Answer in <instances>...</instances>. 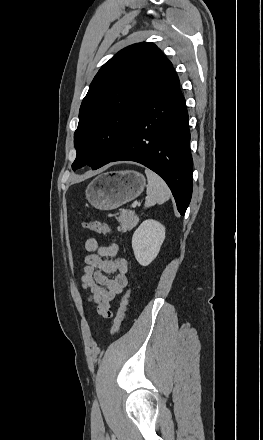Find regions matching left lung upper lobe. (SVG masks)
Listing matches in <instances>:
<instances>
[{"instance_id":"1","label":"left lung upper lobe","mask_w":263,"mask_h":440,"mask_svg":"<svg viewBox=\"0 0 263 440\" xmlns=\"http://www.w3.org/2000/svg\"><path fill=\"white\" fill-rule=\"evenodd\" d=\"M171 68L148 42L122 49L101 67L80 107L73 170L84 165L98 169L119 153L136 116Z\"/></svg>"}]
</instances>
